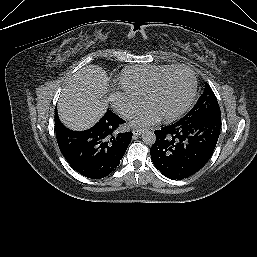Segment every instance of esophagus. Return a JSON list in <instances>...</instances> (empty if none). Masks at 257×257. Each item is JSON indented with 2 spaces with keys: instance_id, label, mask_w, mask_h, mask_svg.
<instances>
[{
  "instance_id": "34e87169",
  "label": "esophagus",
  "mask_w": 257,
  "mask_h": 257,
  "mask_svg": "<svg viewBox=\"0 0 257 257\" xmlns=\"http://www.w3.org/2000/svg\"><path fill=\"white\" fill-rule=\"evenodd\" d=\"M142 132H143V131H142L141 129H133V134H134L135 136L141 135Z\"/></svg>"
}]
</instances>
